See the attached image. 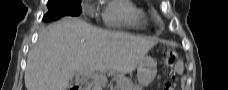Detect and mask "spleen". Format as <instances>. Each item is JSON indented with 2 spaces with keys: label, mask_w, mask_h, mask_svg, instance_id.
Returning a JSON list of instances; mask_svg holds the SVG:
<instances>
[{
  "label": "spleen",
  "mask_w": 228,
  "mask_h": 90,
  "mask_svg": "<svg viewBox=\"0 0 228 90\" xmlns=\"http://www.w3.org/2000/svg\"><path fill=\"white\" fill-rule=\"evenodd\" d=\"M178 73H182L183 72V67H181L180 69H177Z\"/></svg>",
  "instance_id": "spleen-1"
}]
</instances>
